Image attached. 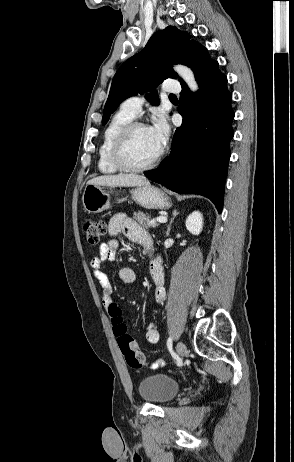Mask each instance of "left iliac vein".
I'll use <instances>...</instances> for the list:
<instances>
[{"label": "left iliac vein", "instance_id": "left-iliac-vein-1", "mask_svg": "<svg viewBox=\"0 0 294 462\" xmlns=\"http://www.w3.org/2000/svg\"><path fill=\"white\" fill-rule=\"evenodd\" d=\"M177 353L179 357H184L187 353L186 345L181 341L177 345Z\"/></svg>", "mask_w": 294, "mask_h": 462}]
</instances>
